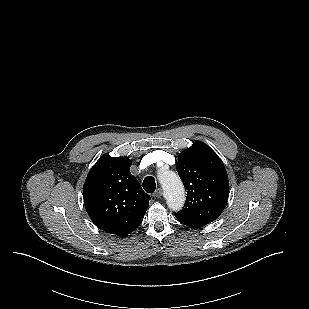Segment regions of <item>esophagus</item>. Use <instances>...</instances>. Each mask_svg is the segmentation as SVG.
I'll return each mask as SVG.
<instances>
[{"label":"esophagus","mask_w":309,"mask_h":309,"mask_svg":"<svg viewBox=\"0 0 309 309\" xmlns=\"http://www.w3.org/2000/svg\"><path fill=\"white\" fill-rule=\"evenodd\" d=\"M162 194H163V191H162V189L161 188H158L157 190H156V192L154 193V197L155 198H160L161 196H162Z\"/></svg>","instance_id":"obj_1"}]
</instances>
